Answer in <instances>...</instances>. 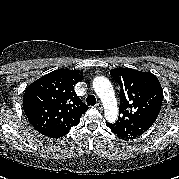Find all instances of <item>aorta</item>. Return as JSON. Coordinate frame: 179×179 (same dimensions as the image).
<instances>
[{
    "instance_id": "aorta-1",
    "label": "aorta",
    "mask_w": 179,
    "mask_h": 179,
    "mask_svg": "<svg viewBox=\"0 0 179 179\" xmlns=\"http://www.w3.org/2000/svg\"><path fill=\"white\" fill-rule=\"evenodd\" d=\"M93 88L104 105L105 118L109 122H115L118 116V106L111 82L99 76L93 80Z\"/></svg>"
}]
</instances>
